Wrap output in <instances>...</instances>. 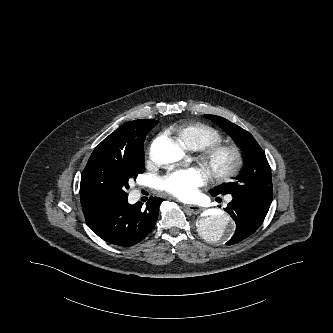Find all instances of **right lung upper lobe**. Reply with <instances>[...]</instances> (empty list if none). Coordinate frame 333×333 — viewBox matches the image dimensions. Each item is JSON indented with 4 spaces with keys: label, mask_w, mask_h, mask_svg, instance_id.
Wrapping results in <instances>:
<instances>
[{
    "label": "right lung upper lobe",
    "mask_w": 333,
    "mask_h": 333,
    "mask_svg": "<svg viewBox=\"0 0 333 333\" xmlns=\"http://www.w3.org/2000/svg\"><path fill=\"white\" fill-rule=\"evenodd\" d=\"M143 122L130 121L120 126L116 131L106 137L93 151L90 158L98 154L128 155L136 152L143 145ZM82 208L92 206L98 202L89 200L81 195Z\"/></svg>",
    "instance_id": "obj_1"
}]
</instances>
